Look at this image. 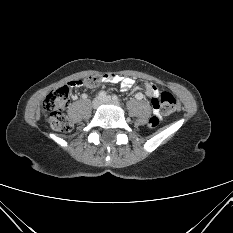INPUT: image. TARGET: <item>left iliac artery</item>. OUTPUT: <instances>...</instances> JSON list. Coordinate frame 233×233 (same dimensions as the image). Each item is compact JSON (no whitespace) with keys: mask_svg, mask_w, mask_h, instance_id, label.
<instances>
[{"mask_svg":"<svg viewBox=\"0 0 233 233\" xmlns=\"http://www.w3.org/2000/svg\"><path fill=\"white\" fill-rule=\"evenodd\" d=\"M112 99H113L115 102H119V101H120L117 95H113V96H112Z\"/></svg>","mask_w":233,"mask_h":233,"instance_id":"44dca946","label":"left iliac artery"}]
</instances>
